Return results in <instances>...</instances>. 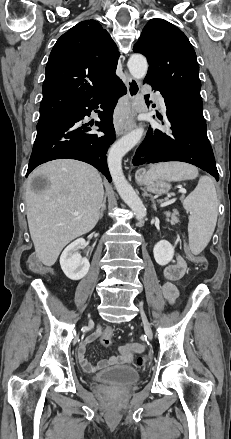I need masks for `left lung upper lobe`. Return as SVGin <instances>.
Returning a JSON list of instances; mask_svg holds the SVG:
<instances>
[{"instance_id": "obj_1", "label": "left lung upper lobe", "mask_w": 231, "mask_h": 439, "mask_svg": "<svg viewBox=\"0 0 231 439\" xmlns=\"http://www.w3.org/2000/svg\"><path fill=\"white\" fill-rule=\"evenodd\" d=\"M149 63L148 79L194 114L203 117L195 51L185 34L168 21L151 19L133 48Z\"/></svg>"}]
</instances>
